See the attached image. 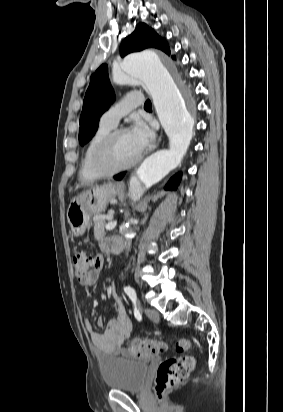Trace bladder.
Listing matches in <instances>:
<instances>
[{
	"instance_id": "31cf9c89",
	"label": "bladder",
	"mask_w": 283,
	"mask_h": 412,
	"mask_svg": "<svg viewBox=\"0 0 283 412\" xmlns=\"http://www.w3.org/2000/svg\"><path fill=\"white\" fill-rule=\"evenodd\" d=\"M148 369L149 364L139 360L110 357L100 363L104 385L118 391L143 390L147 382Z\"/></svg>"
}]
</instances>
